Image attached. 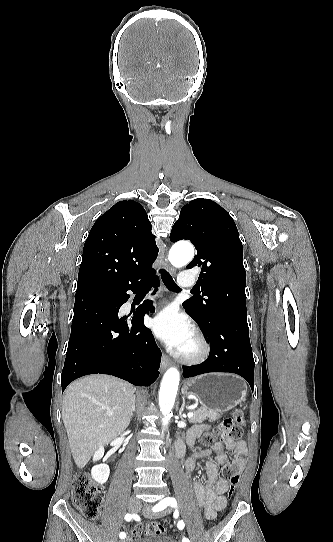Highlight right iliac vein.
<instances>
[{
  "label": "right iliac vein",
  "mask_w": 333,
  "mask_h": 542,
  "mask_svg": "<svg viewBox=\"0 0 333 542\" xmlns=\"http://www.w3.org/2000/svg\"><path fill=\"white\" fill-rule=\"evenodd\" d=\"M140 507L141 502L137 497H131L128 500V510L131 513H136ZM121 542H130V536H128L125 540H122Z\"/></svg>",
  "instance_id": "63e3f726"
}]
</instances>
